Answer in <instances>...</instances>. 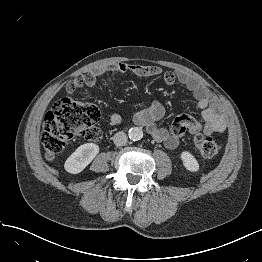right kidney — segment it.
Returning <instances> with one entry per match:
<instances>
[{
    "label": "right kidney",
    "mask_w": 262,
    "mask_h": 262,
    "mask_svg": "<svg viewBox=\"0 0 262 262\" xmlns=\"http://www.w3.org/2000/svg\"><path fill=\"white\" fill-rule=\"evenodd\" d=\"M99 153V146L86 143L79 146L65 161L64 168L71 174H78L88 166Z\"/></svg>",
    "instance_id": "obj_1"
}]
</instances>
